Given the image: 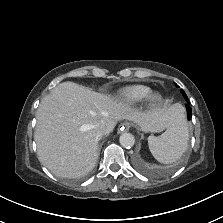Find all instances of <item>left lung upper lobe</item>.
<instances>
[{
    "label": "left lung upper lobe",
    "mask_w": 223,
    "mask_h": 223,
    "mask_svg": "<svg viewBox=\"0 0 223 223\" xmlns=\"http://www.w3.org/2000/svg\"><path fill=\"white\" fill-rule=\"evenodd\" d=\"M180 91H181L182 95L184 96V98H185V99H188V97H187V95L185 94V92H184L182 89H181Z\"/></svg>",
    "instance_id": "obj_1"
}]
</instances>
